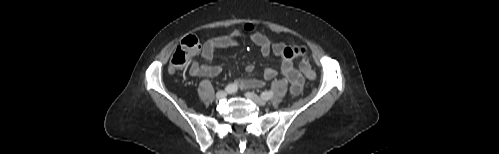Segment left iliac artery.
Returning <instances> with one entry per match:
<instances>
[{"label":"left iliac artery","instance_id":"obj_1","mask_svg":"<svg viewBox=\"0 0 499 154\" xmlns=\"http://www.w3.org/2000/svg\"><path fill=\"white\" fill-rule=\"evenodd\" d=\"M273 94V91H266L261 94V97L265 100H269L270 98H272Z\"/></svg>","mask_w":499,"mask_h":154}]
</instances>
